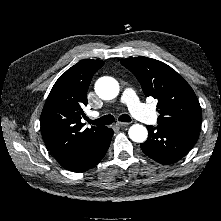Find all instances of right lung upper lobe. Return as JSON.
<instances>
[{
  "label": "right lung upper lobe",
  "mask_w": 221,
  "mask_h": 221,
  "mask_svg": "<svg viewBox=\"0 0 221 221\" xmlns=\"http://www.w3.org/2000/svg\"><path fill=\"white\" fill-rule=\"evenodd\" d=\"M103 65L100 60H81L59 77L49 93L41 114V132L58 162L83 149L105 128L83 129L81 123L89 84Z\"/></svg>",
  "instance_id": "obj_1"
}]
</instances>
